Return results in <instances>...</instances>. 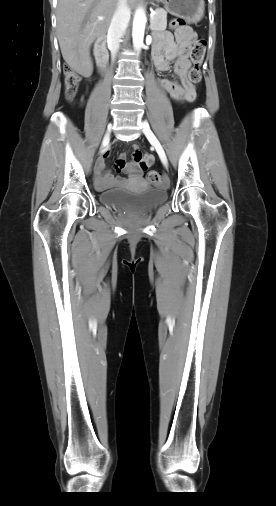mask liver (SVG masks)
I'll use <instances>...</instances> for the list:
<instances>
[{"label":"liver","instance_id":"obj_1","mask_svg":"<svg viewBox=\"0 0 276 506\" xmlns=\"http://www.w3.org/2000/svg\"><path fill=\"white\" fill-rule=\"evenodd\" d=\"M117 3L118 0H58L57 37L61 53L77 73L85 76L92 73L90 47L106 34ZM136 3L137 0H127L130 9Z\"/></svg>","mask_w":276,"mask_h":506}]
</instances>
